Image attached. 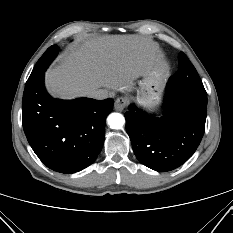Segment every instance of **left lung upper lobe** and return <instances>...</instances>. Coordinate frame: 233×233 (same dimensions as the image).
Returning <instances> with one entry per match:
<instances>
[{"label": "left lung upper lobe", "instance_id": "obj_1", "mask_svg": "<svg viewBox=\"0 0 233 233\" xmlns=\"http://www.w3.org/2000/svg\"><path fill=\"white\" fill-rule=\"evenodd\" d=\"M182 53V52H181ZM179 53V70L170 77L169 81L176 85L205 91L202 81L186 55Z\"/></svg>", "mask_w": 233, "mask_h": 233}]
</instances>
